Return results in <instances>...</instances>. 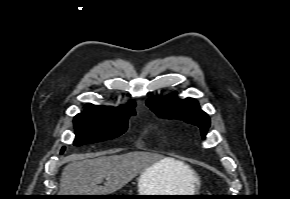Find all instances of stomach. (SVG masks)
Listing matches in <instances>:
<instances>
[{
    "label": "stomach",
    "instance_id": "0dacf381",
    "mask_svg": "<svg viewBox=\"0 0 290 199\" xmlns=\"http://www.w3.org/2000/svg\"><path fill=\"white\" fill-rule=\"evenodd\" d=\"M158 166L153 165L143 171L138 178V195H192L176 194L172 192V177L161 171ZM153 199H187L184 197H151Z\"/></svg>",
    "mask_w": 290,
    "mask_h": 199
}]
</instances>
